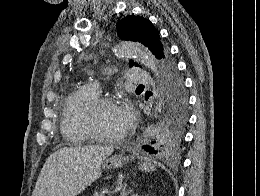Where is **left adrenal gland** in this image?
Listing matches in <instances>:
<instances>
[{
  "mask_svg": "<svg viewBox=\"0 0 260 196\" xmlns=\"http://www.w3.org/2000/svg\"><path fill=\"white\" fill-rule=\"evenodd\" d=\"M126 186H127V184H124L123 190H121L120 196H128L129 192H131V190H129V192H126Z\"/></svg>",
  "mask_w": 260,
  "mask_h": 196,
  "instance_id": "obj_1",
  "label": "left adrenal gland"
}]
</instances>
